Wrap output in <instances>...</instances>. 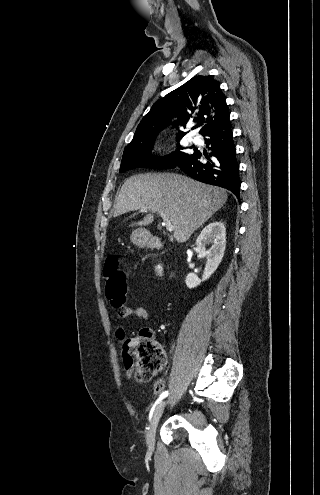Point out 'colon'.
Wrapping results in <instances>:
<instances>
[{
    "label": "colon",
    "instance_id": "colon-1",
    "mask_svg": "<svg viewBox=\"0 0 320 495\" xmlns=\"http://www.w3.org/2000/svg\"><path fill=\"white\" fill-rule=\"evenodd\" d=\"M161 268L159 267V272ZM103 278L105 293L108 301L118 310L122 311L127 295V280L120 261L116 256H109L104 264ZM148 329L140 331L136 337H131L123 342V349L127 353L124 362L132 363L136 358L135 378L139 382H147L155 376L165 363L164 349L150 341ZM164 388V382L159 380L155 384V391L159 393Z\"/></svg>",
    "mask_w": 320,
    "mask_h": 495
}]
</instances>
